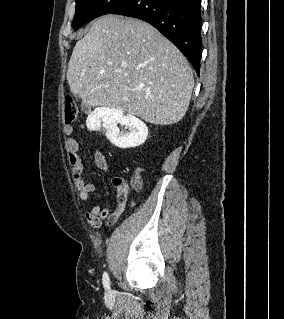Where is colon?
Segmentation results:
<instances>
[{"instance_id":"obj_1","label":"colon","mask_w":284,"mask_h":319,"mask_svg":"<svg viewBox=\"0 0 284 319\" xmlns=\"http://www.w3.org/2000/svg\"><path fill=\"white\" fill-rule=\"evenodd\" d=\"M64 113H65V122L66 124H72L77 121H79L81 114L80 109L78 105L75 103L74 99L70 96H67L65 98V107H64ZM116 185L119 187H126V185L123 183L121 179L117 180ZM142 185V179L139 174H135L130 182V187L134 190L140 189Z\"/></svg>"}]
</instances>
